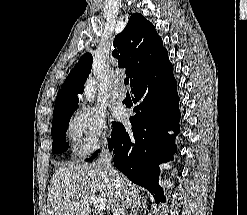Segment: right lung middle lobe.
I'll return each mask as SVG.
<instances>
[{"instance_id":"obj_1","label":"right lung middle lobe","mask_w":247,"mask_h":215,"mask_svg":"<svg viewBox=\"0 0 247 215\" xmlns=\"http://www.w3.org/2000/svg\"><path fill=\"white\" fill-rule=\"evenodd\" d=\"M76 106L65 109L59 113L53 114V124L51 135L53 138L52 151L53 153H62L67 150L68 145L65 143V134Z\"/></svg>"}]
</instances>
